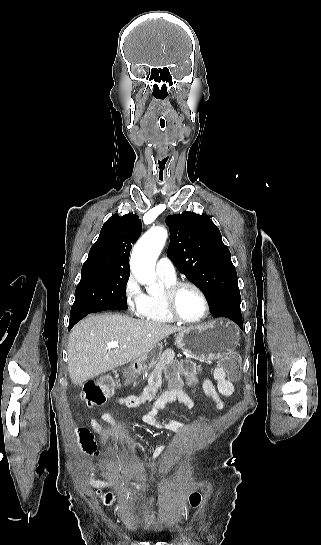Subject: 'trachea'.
Wrapping results in <instances>:
<instances>
[{
    "label": "trachea",
    "mask_w": 321,
    "mask_h": 545,
    "mask_svg": "<svg viewBox=\"0 0 321 545\" xmlns=\"http://www.w3.org/2000/svg\"><path fill=\"white\" fill-rule=\"evenodd\" d=\"M160 121V128H161V131L164 133L166 131V126H167V121L166 120H163L162 118L159 120Z\"/></svg>",
    "instance_id": "3493384b"
}]
</instances>
